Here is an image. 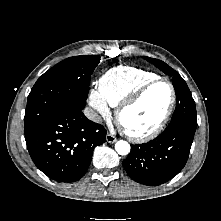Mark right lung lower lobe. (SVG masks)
Returning <instances> with one entry per match:
<instances>
[{"instance_id":"obj_1","label":"right lung lower lobe","mask_w":221,"mask_h":221,"mask_svg":"<svg viewBox=\"0 0 221 221\" xmlns=\"http://www.w3.org/2000/svg\"><path fill=\"white\" fill-rule=\"evenodd\" d=\"M105 128L82 111H64L25 135L29 154L49 178L75 182L86 173L93 149L106 142Z\"/></svg>"}]
</instances>
